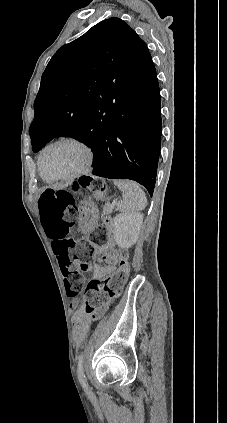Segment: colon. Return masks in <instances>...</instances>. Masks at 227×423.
Here are the masks:
<instances>
[{"instance_id":"5ec220e1","label":"colon","mask_w":227,"mask_h":423,"mask_svg":"<svg viewBox=\"0 0 227 423\" xmlns=\"http://www.w3.org/2000/svg\"><path fill=\"white\" fill-rule=\"evenodd\" d=\"M98 183L84 178L76 181L71 188H46L40 193L38 207L46 234L56 241L55 255L58 258L68 297H76L82 290L83 273L94 257V246L108 241V224L96 227L88 240L74 241L67 233L78 218L75 192L79 188H96ZM118 269L105 280H91L85 290L82 311L90 314L122 292L129 275L128 254L124 251L116 255Z\"/></svg>"}]
</instances>
